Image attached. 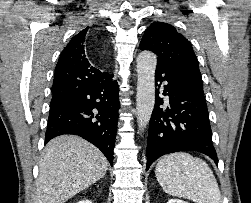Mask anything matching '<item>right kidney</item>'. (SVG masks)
<instances>
[{
  "label": "right kidney",
  "instance_id": "ca27d5eb",
  "mask_svg": "<svg viewBox=\"0 0 251 203\" xmlns=\"http://www.w3.org/2000/svg\"><path fill=\"white\" fill-rule=\"evenodd\" d=\"M77 203H92L90 200H81V201H79V202H77Z\"/></svg>",
  "mask_w": 251,
  "mask_h": 203
}]
</instances>
